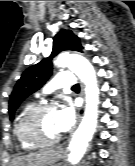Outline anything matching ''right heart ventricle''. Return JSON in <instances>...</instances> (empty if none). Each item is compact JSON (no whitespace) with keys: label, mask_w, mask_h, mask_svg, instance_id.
I'll return each mask as SVG.
<instances>
[{"label":"right heart ventricle","mask_w":135,"mask_h":166,"mask_svg":"<svg viewBox=\"0 0 135 166\" xmlns=\"http://www.w3.org/2000/svg\"><path fill=\"white\" fill-rule=\"evenodd\" d=\"M36 103L35 102H31V103H27L26 105H24L21 110L19 111L17 118L15 120V124H14V136L15 139L17 140L18 144L20 145L21 148L25 149V150H31L34 149L37 145L31 144L27 141H25L21 136H20V131H19V125H20V121L23 117V115L26 113L27 110H29L31 107L35 106Z\"/></svg>","instance_id":"1"}]
</instances>
